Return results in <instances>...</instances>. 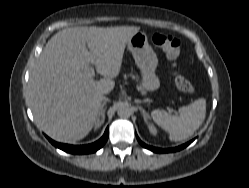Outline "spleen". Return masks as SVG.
I'll list each match as a JSON object with an SVG mask.
<instances>
[{"instance_id": "1", "label": "spleen", "mask_w": 249, "mask_h": 188, "mask_svg": "<svg viewBox=\"0 0 249 188\" xmlns=\"http://www.w3.org/2000/svg\"><path fill=\"white\" fill-rule=\"evenodd\" d=\"M177 115L165 111L153 110L154 122L169 134L172 141H183L191 137L202 125L206 114V101L200 98L190 105L180 107Z\"/></svg>"}]
</instances>
